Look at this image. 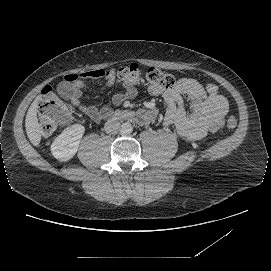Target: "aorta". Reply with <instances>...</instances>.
<instances>
[{
  "instance_id": "obj_1",
  "label": "aorta",
  "mask_w": 271,
  "mask_h": 271,
  "mask_svg": "<svg viewBox=\"0 0 271 271\" xmlns=\"http://www.w3.org/2000/svg\"><path fill=\"white\" fill-rule=\"evenodd\" d=\"M133 132V126L130 123H124L121 126V133L123 135H131Z\"/></svg>"
}]
</instances>
